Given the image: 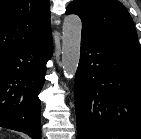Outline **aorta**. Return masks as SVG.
<instances>
[{
  "label": "aorta",
  "instance_id": "1",
  "mask_svg": "<svg viewBox=\"0 0 141 139\" xmlns=\"http://www.w3.org/2000/svg\"><path fill=\"white\" fill-rule=\"evenodd\" d=\"M82 22L77 15H68L63 22L62 68L68 79L75 76L80 60Z\"/></svg>",
  "mask_w": 141,
  "mask_h": 139
}]
</instances>
